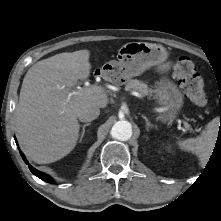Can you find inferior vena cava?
<instances>
[{
    "label": "inferior vena cava",
    "instance_id": "obj_1",
    "mask_svg": "<svg viewBox=\"0 0 221 221\" xmlns=\"http://www.w3.org/2000/svg\"><path fill=\"white\" fill-rule=\"evenodd\" d=\"M100 114V109L96 105H89L82 109L79 114L78 118L81 122H90L96 119Z\"/></svg>",
    "mask_w": 221,
    "mask_h": 221
}]
</instances>
